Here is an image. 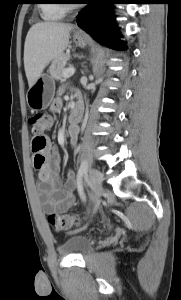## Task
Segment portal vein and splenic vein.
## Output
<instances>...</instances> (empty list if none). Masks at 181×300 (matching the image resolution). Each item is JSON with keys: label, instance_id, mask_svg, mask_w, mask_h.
Here are the masks:
<instances>
[{"label": "portal vein and splenic vein", "instance_id": "18ae733b", "mask_svg": "<svg viewBox=\"0 0 181 300\" xmlns=\"http://www.w3.org/2000/svg\"><path fill=\"white\" fill-rule=\"evenodd\" d=\"M75 73V68L73 66L65 69L64 71V78H68L70 76H72Z\"/></svg>", "mask_w": 181, "mask_h": 300}]
</instances>
